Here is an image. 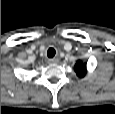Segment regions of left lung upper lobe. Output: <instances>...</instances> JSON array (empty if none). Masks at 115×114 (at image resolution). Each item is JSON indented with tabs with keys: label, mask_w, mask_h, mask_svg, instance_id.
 I'll use <instances>...</instances> for the list:
<instances>
[{
	"label": "left lung upper lobe",
	"mask_w": 115,
	"mask_h": 114,
	"mask_svg": "<svg viewBox=\"0 0 115 114\" xmlns=\"http://www.w3.org/2000/svg\"><path fill=\"white\" fill-rule=\"evenodd\" d=\"M74 70L79 77H84L86 75V63L81 60L77 61Z\"/></svg>",
	"instance_id": "left-lung-upper-lobe-1"
}]
</instances>
